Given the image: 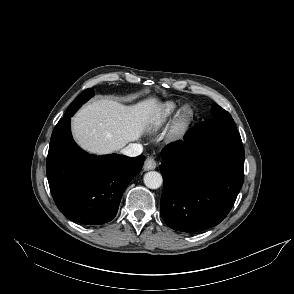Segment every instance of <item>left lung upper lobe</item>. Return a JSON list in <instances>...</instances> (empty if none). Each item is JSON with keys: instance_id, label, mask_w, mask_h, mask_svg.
I'll use <instances>...</instances> for the list:
<instances>
[{"instance_id": "left-lung-upper-lobe-1", "label": "left lung upper lobe", "mask_w": 294, "mask_h": 294, "mask_svg": "<svg viewBox=\"0 0 294 294\" xmlns=\"http://www.w3.org/2000/svg\"><path fill=\"white\" fill-rule=\"evenodd\" d=\"M211 112L213 118H231V115L219 105H213Z\"/></svg>"}]
</instances>
